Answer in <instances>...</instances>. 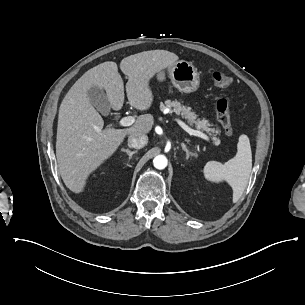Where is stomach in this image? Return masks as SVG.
<instances>
[{"instance_id":"stomach-1","label":"stomach","mask_w":305,"mask_h":305,"mask_svg":"<svg viewBox=\"0 0 305 305\" xmlns=\"http://www.w3.org/2000/svg\"><path fill=\"white\" fill-rule=\"evenodd\" d=\"M168 73L174 87L181 92L191 93L199 88V73L191 62L176 61L173 66L168 68ZM157 78L159 81H163L165 79L164 72H158Z\"/></svg>"}]
</instances>
